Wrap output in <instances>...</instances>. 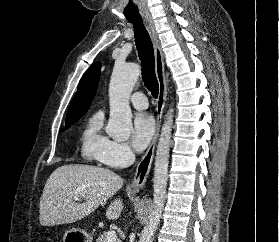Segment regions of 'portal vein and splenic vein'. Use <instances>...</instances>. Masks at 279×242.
Instances as JSON below:
<instances>
[{"label": "portal vein and splenic vein", "mask_w": 279, "mask_h": 242, "mask_svg": "<svg viewBox=\"0 0 279 242\" xmlns=\"http://www.w3.org/2000/svg\"><path fill=\"white\" fill-rule=\"evenodd\" d=\"M74 199L79 200V197L74 196ZM106 238H107V242H115L117 239L116 232L114 230L108 231Z\"/></svg>", "instance_id": "portal-vein-and-splenic-vein-1"}]
</instances>
